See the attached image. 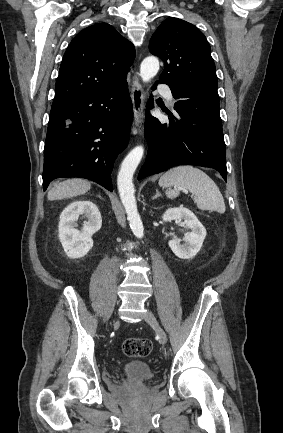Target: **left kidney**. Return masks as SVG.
<instances>
[{
  "mask_svg": "<svg viewBox=\"0 0 283 433\" xmlns=\"http://www.w3.org/2000/svg\"><path fill=\"white\" fill-rule=\"evenodd\" d=\"M165 222L175 220L181 222L183 226L190 230L186 233L181 244V239L174 238L168 242L172 252L181 259L193 258L201 249L206 237V229L195 216V214L185 207L169 208L162 216Z\"/></svg>",
  "mask_w": 283,
  "mask_h": 433,
  "instance_id": "obj_1",
  "label": "left kidney"
}]
</instances>
